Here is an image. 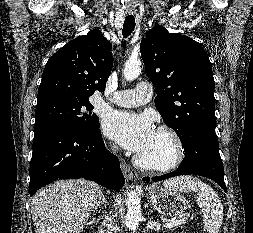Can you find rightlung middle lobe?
<instances>
[{
	"mask_svg": "<svg viewBox=\"0 0 253 233\" xmlns=\"http://www.w3.org/2000/svg\"><path fill=\"white\" fill-rule=\"evenodd\" d=\"M88 99L52 97L37 103L34 130L46 125L66 126L80 132H91L99 126Z\"/></svg>",
	"mask_w": 253,
	"mask_h": 233,
	"instance_id": "dd1d6c3e",
	"label": "right lung middle lobe"
}]
</instances>
